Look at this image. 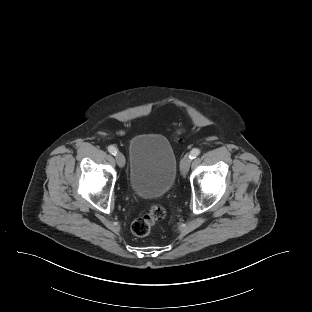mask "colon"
I'll use <instances>...</instances> for the list:
<instances>
[{"label": "colon", "instance_id": "5ec220e1", "mask_svg": "<svg viewBox=\"0 0 312 312\" xmlns=\"http://www.w3.org/2000/svg\"><path fill=\"white\" fill-rule=\"evenodd\" d=\"M178 130L177 133H180ZM165 217V209L159 204H153L148 212L143 216L134 220L131 225V230L138 237L149 235L153 225Z\"/></svg>", "mask_w": 312, "mask_h": 312}]
</instances>
